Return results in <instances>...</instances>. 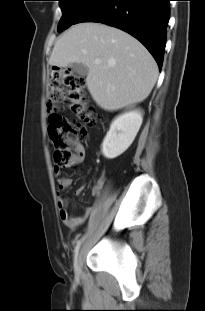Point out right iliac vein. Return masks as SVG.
<instances>
[{"label": "right iliac vein", "instance_id": "obj_1", "mask_svg": "<svg viewBox=\"0 0 205 311\" xmlns=\"http://www.w3.org/2000/svg\"><path fill=\"white\" fill-rule=\"evenodd\" d=\"M81 254H78L74 261V271L77 277L81 274Z\"/></svg>", "mask_w": 205, "mask_h": 311}]
</instances>
